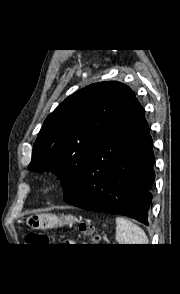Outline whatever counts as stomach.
<instances>
[{
    "label": "stomach",
    "mask_w": 180,
    "mask_h": 294,
    "mask_svg": "<svg viewBox=\"0 0 180 294\" xmlns=\"http://www.w3.org/2000/svg\"><path fill=\"white\" fill-rule=\"evenodd\" d=\"M76 220L72 215L63 218L52 214H33L25 219V224L32 229H51L65 224L72 225Z\"/></svg>",
    "instance_id": "1"
}]
</instances>
